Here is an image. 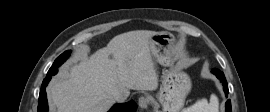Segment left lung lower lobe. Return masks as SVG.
<instances>
[{
  "label": "left lung lower lobe",
  "mask_w": 270,
  "mask_h": 112,
  "mask_svg": "<svg viewBox=\"0 0 270 112\" xmlns=\"http://www.w3.org/2000/svg\"><path fill=\"white\" fill-rule=\"evenodd\" d=\"M212 73L215 74L216 77L222 82L224 92H225L226 96H228V92H229L228 84H227V81L225 79L223 72H221L218 69H214V70H212ZM225 112H231V101L230 100H227V102H226Z\"/></svg>",
  "instance_id": "obj_1"
}]
</instances>
